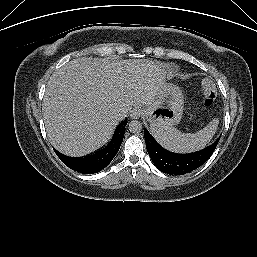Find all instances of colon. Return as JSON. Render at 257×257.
Masks as SVG:
<instances>
[{
	"instance_id": "obj_1",
	"label": "colon",
	"mask_w": 257,
	"mask_h": 257,
	"mask_svg": "<svg viewBox=\"0 0 257 257\" xmlns=\"http://www.w3.org/2000/svg\"><path fill=\"white\" fill-rule=\"evenodd\" d=\"M202 103L205 106H211L216 99L217 89L215 84L208 78L201 81Z\"/></svg>"
}]
</instances>
